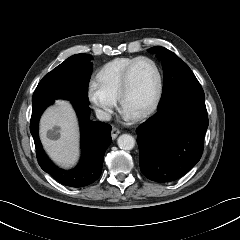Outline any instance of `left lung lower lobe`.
Listing matches in <instances>:
<instances>
[{
    "mask_svg": "<svg viewBox=\"0 0 240 240\" xmlns=\"http://www.w3.org/2000/svg\"><path fill=\"white\" fill-rule=\"evenodd\" d=\"M207 128L205 99L171 101L136 130L141 172L159 183L179 179L200 160Z\"/></svg>",
    "mask_w": 240,
    "mask_h": 240,
    "instance_id": "1",
    "label": "left lung lower lobe"
}]
</instances>
